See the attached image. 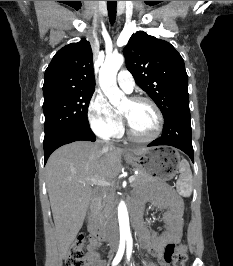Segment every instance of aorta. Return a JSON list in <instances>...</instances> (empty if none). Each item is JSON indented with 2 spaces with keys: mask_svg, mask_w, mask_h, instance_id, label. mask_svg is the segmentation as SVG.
I'll return each mask as SVG.
<instances>
[{
  "mask_svg": "<svg viewBox=\"0 0 233 266\" xmlns=\"http://www.w3.org/2000/svg\"><path fill=\"white\" fill-rule=\"evenodd\" d=\"M123 62V55H111L105 59L99 71V85L113 106H119L125 98L124 93L118 88L116 82L117 73ZM118 221L121 239L130 238L129 216L124 201H121L118 205Z\"/></svg>",
  "mask_w": 233,
  "mask_h": 266,
  "instance_id": "1",
  "label": "aorta"
}]
</instances>
